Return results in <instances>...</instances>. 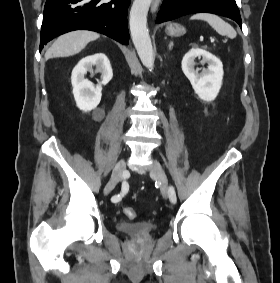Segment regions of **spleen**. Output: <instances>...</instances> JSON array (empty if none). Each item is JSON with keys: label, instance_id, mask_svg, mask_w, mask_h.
<instances>
[{"label": "spleen", "instance_id": "1", "mask_svg": "<svg viewBox=\"0 0 280 283\" xmlns=\"http://www.w3.org/2000/svg\"><path fill=\"white\" fill-rule=\"evenodd\" d=\"M190 19L206 21L217 33L227 36L231 39L235 38L237 35L236 31L230 24L226 23L216 15L209 13H198L193 15Z\"/></svg>", "mask_w": 280, "mask_h": 283}]
</instances>
